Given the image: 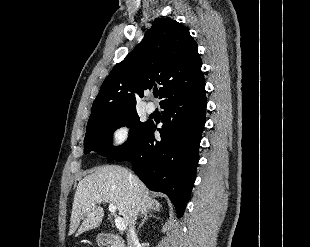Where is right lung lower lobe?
<instances>
[{"instance_id": "1", "label": "right lung lower lobe", "mask_w": 310, "mask_h": 247, "mask_svg": "<svg viewBox=\"0 0 310 247\" xmlns=\"http://www.w3.org/2000/svg\"><path fill=\"white\" fill-rule=\"evenodd\" d=\"M160 106L164 109L163 126L158 129L161 138L155 139V125L149 122L131 147L115 160L130 161L134 172L150 190L163 192L170 198L180 218L199 160L206 112L205 82L168 98Z\"/></svg>"}]
</instances>
